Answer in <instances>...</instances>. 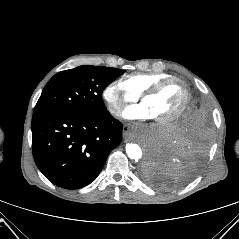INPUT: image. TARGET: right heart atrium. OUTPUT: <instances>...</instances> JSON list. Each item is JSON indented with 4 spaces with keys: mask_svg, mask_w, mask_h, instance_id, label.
<instances>
[{
    "mask_svg": "<svg viewBox=\"0 0 239 239\" xmlns=\"http://www.w3.org/2000/svg\"><path fill=\"white\" fill-rule=\"evenodd\" d=\"M102 96L109 112L113 116H119L125 105L135 102L139 98L138 94L130 90L119 80L110 82L104 88Z\"/></svg>",
    "mask_w": 239,
    "mask_h": 239,
    "instance_id": "obj_1",
    "label": "right heart atrium"
}]
</instances>
